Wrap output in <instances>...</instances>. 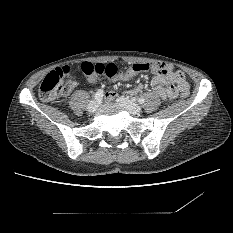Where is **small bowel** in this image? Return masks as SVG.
<instances>
[{
	"label": "small bowel",
	"instance_id": "obj_1",
	"mask_svg": "<svg viewBox=\"0 0 233 233\" xmlns=\"http://www.w3.org/2000/svg\"><path fill=\"white\" fill-rule=\"evenodd\" d=\"M132 77V76H131ZM130 77H125L123 74L117 75L115 79L126 80ZM96 79H90L94 82ZM151 85L155 94L162 100L174 99L178 95V90L188 86V82L184 73L180 70L173 69L169 66H160V70L156 72L151 78ZM142 90V87H136L129 91L131 95H137ZM115 93L106 94V99L114 100L116 98Z\"/></svg>",
	"mask_w": 233,
	"mask_h": 233
}]
</instances>
